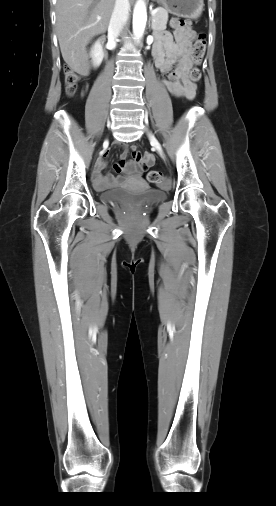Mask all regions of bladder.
I'll return each instance as SVG.
<instances>
[{
	"label": "bladder",
	"instance_id": "31cf9c89",
	"mask_svg": "<svg viewBox=\"0 0 276 506\" xmlns=\"http://www.w3.org/2000/svg\"><path fill=\"white\" fill-rule=\"evenodd\" d=\"M134 199L138 203L147 204L161 202L166 198V193L160 189L148 188L143 192H132L128 190L110 191L101 194V199L106 203L119 204L127 199Z\"/></svg>",
	"mask_w": 276,
	"mask_h": 506
}]
</instances>
